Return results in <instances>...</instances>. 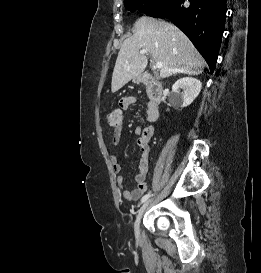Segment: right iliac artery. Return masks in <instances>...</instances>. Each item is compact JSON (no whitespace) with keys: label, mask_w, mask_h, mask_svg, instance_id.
<instances>
[{"label":"right iliac artery","mask_w":261,"mask_h":273,"mask_svg":"<svg viewBox=\"0 0 261 273\" xmlns=\"http://www.w3.org/2000/svg\"><path fill=\"white\" fill-rule=\"evenodd\" d=\"M150 196H151L150 193L144 195V196L142 197V199H141V203L145 202Z\"/></svg>","instance_id":"right-iliac-artery-1"}]
</instances>
